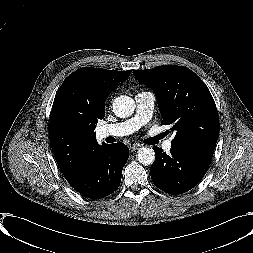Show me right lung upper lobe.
I'll return each instance as SVG.
<instances>
[{
  "mask_svg": "<svg viewBox=\"0 0 253 253\" xmlns=\"http://www.w3.org/2000/svg\"><path fill=\"white\" fill-rule=\"evenodd\" d=\"M131 71L81 68L56 93L49 126L51 147L67 181L75 178L98 146L94 128L105 115V101Z\"/></svg>",
  "mask_w": 253,
  "mask_h": 253,
  "instance_id": "right-lung-upper-lobe-1",
  "label": "right lung upper lobe"
}]
</instances>
